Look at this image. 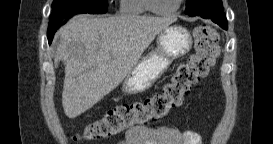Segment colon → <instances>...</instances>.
Segmentation results:
<instances>
[{
    "label": "colon",
    "instance_id": "colon-1",
    "mask_svg": "<svg viewBox=\"0 0 273 144\" xmlns=\"http://www.w3.org/2000/svg\"><path fill=\"white\" fill-rule=\"evenodd\" d=\"M194 53L182 62L162 89L141 101L117 105L89 123L83 137L101 140L132 128L147 127L179 107L191 88L205 78L219 55L218 34L208 25L194 30Z\"/></svg>",
    "mask_w": 273,
    "mask_h": 144
}]
</instances>
